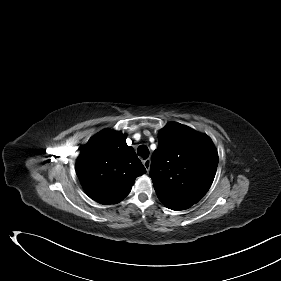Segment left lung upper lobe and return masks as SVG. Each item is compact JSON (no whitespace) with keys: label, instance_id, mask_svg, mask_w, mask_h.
Masks as SVG:
<instances>
[{"label":"left lung upper lobe","instance_id":"obj_1","mask_svg":"<svg viewBox=\"0 0 281 281\" xmlns=\"http://www.w3.org/2000/svg\"><path fill=\"white\" fill-rule=\"evenodd\" d=\"M150 177L160 201L172 210H185L209 190L218 165L212 140L192 128L171 122L158 133Z\"/></svg>","mask_w":281,"mask_h":281}]
</instances>
